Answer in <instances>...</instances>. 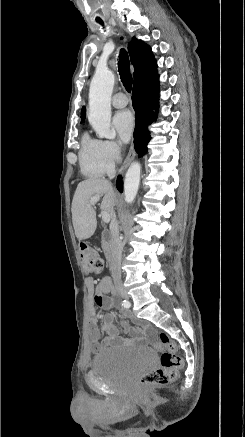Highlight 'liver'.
I'll list each match as a JSON object with an SVG mask.
<instances>
[{
	"label": "liver",
	"mask_w": 245,
	"mask_h": 437,
	"mask_svg": "<svg viewBox=\"0 0 245 437\" xmlns=\"http://www.w3.org/2000/svg\"><path fill=\"white\" fill-rule=\"evenodd\" d=\"M94 196H103L101 209L114 215V206L117 195L112 184L103 179H87L80 182L75 191L72 201V222L75 235L79 241L90 238L97 227L96 211L90 203Z\"/></svg>",
	"instance_id": "obj_1"
}]
</instances>
